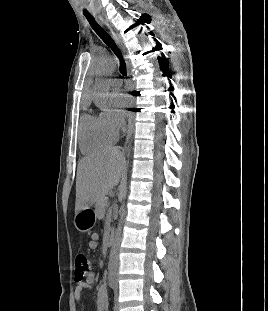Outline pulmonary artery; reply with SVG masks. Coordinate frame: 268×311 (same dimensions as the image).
Wrapping results in <instances>:
<instances>
[{
    "instance_id": "pulmonary-artery-1",
    "label": "pulmonary artery",
    "mask_w": 268,
    "mask_h": 311,
    "mask_svg": "<svg viewBox=\"0 0 268 311\" xmlns=\"http://www.w3.org/2000/svg\"><path fill=\"white\" fill-rule=\"evenodd\" d=\"M108 83L112 88L117 89L121 86L122 81L120 79L112 78L108 80Z\"/></svg>"
}]
</instances>
